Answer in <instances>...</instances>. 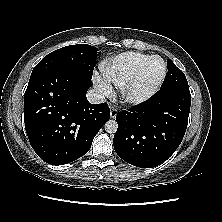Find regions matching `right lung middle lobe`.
<instances>
[{
    "mask_svg": "<svg viewBox=\"0 0 222 222\" xmlns=\"http://www.w3.org/2000/svg\"><path fill=\"white\" fill-rule=\"evenodd\" d=\"M98 49L88 44L70 45L45 56L33 69L31 77L44 72L71 69L92 77Z\"/></svg>",
    "mask_w": 222,
    "mask_h": 222,
    "instance_id": "dd1d6c3e",
    "label": "right lung middle lobe"
}]
</instances>
